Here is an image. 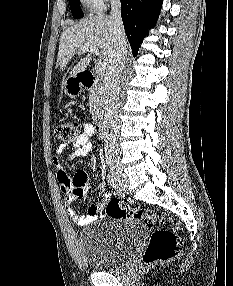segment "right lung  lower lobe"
I'll return each mask as SVG.
<instances>
[{
  "instance_id": "1",
  "label": "right lung lower lobe",
  "mask_w": 233,
  "mask_h": 286,
  "mask_svg": "<svg viewBox=\"0 0 233 286\" xmlns=\"http://www.w3.org/2000/svg\"><path fill=\"white\" fill-rule=\"evenodd\" d=\"M162 0H121V15L133 55L136 56L147 30L159 16Z\"/></svg>"
}]
</instances>
